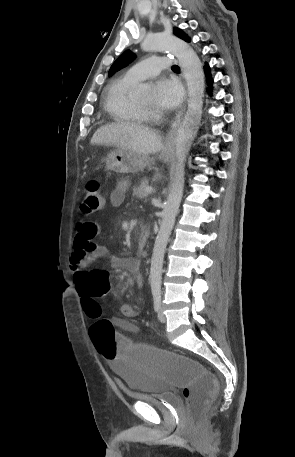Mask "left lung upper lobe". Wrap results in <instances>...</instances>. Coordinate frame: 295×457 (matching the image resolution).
Here are the masks:
<instances>
[{
  "mask_svg": "<svg viewBox=\"0 0 295 457\" xmlns=\"http://www.w3.org/2000/svg\"><path fill=\"white\" fill-rule=\"evenodd\" d=\"M174 34L185 41H190L188 36L182 30H180L178 28L174 29ZM134 58H135V54L133 52H131L130 50L125 51L112 64V66L108 72V75L112 76L115 72H117L120 69H122L123 67L127 66Z\"/></svg>",
  "mask_w": 295,
  "mask_h": 457,
  "instance_id": "left-lung-upper-lobe-1",
  "label": "left lung upper lobe"
}]
</instances>
